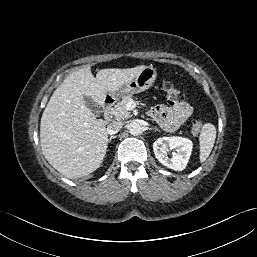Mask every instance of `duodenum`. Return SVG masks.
<instances>
[{
	"instance_id": "obj_1",
	"label": "duodenum",
	"mask_w": 257,
	"mask_h": 257,
	"mask_svg": "<svg viewBox=\"0 0 257 257\" xmlns=\"http://www.w3.org/2000/svg\"><path fill=\"white\" fill-rule=\"evenodd\" d=\"M114 104V99L110 96H106L103 100V116L106 122L111 120V108Z\"/></svg>"
}]
</instances>
